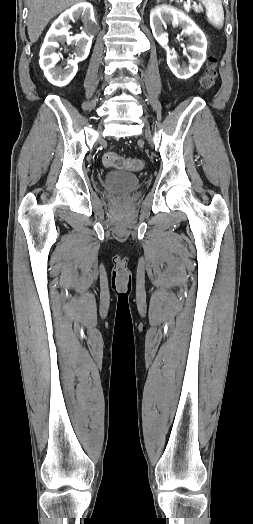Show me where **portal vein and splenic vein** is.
<instances>
[{"label":"portal vein and splenic vein","instance_id":"18ae733b","mask_svg":"<svg viewBox=\"0 0 253 524\" xmlns=\"http://www.w3.org/2000/svg\"><path fill=\"white\" fill-rule=\"evenodd\" d=\"M184 7H185L186 10H189L190 9V2H185L184 3ZM194 10L196 12L200 11V10H202V6L196 5V6H194Z\"/></svg>","mask_w":253,"mask_h":524}]
</instances>
